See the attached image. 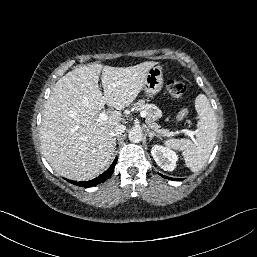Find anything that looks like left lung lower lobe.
Here are the masks:
<instances>
[{
  "mask_svg": "<svg viewBox=\"0 0 257 257\" xmlns=\"http://www.w3.org/2000/svg\"><path fill=\"white\" fill-rule=\"evenodd\" d=\"M161 176L164 177V178L170 179V180H175V181H180V180H182V179L170 178V177H167V176H164V175H161Z\"/></svg>",
  "mask_w": 257,
  "mask_h": 257,
  "instance_id": "1",
  "label": "left lung lower lobe"
}]
</instances>
